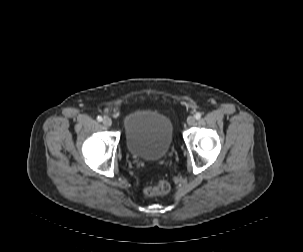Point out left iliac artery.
<instances>
[{
	"label": "left iliac artery",
	"instance_id": "obj_1",
	"mask_svg": "<svg viewBox=\"0 0 303 252\" xmlns=\"http://www.w3.org/2000/svg\"><path fill=\"white\" fill-rule=\"evenodd\" d=\"M195 118H196L197 120H199V119L201 118V113H200V112H197V113L195 114Z\"/></svg>",
	"mask_w": 303,
	"mask_h": 252
}]
</instances>
